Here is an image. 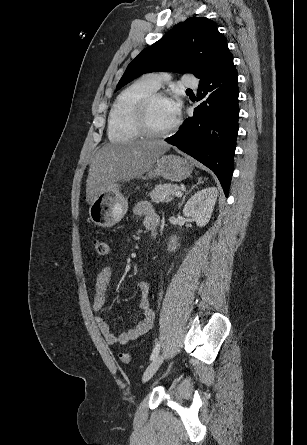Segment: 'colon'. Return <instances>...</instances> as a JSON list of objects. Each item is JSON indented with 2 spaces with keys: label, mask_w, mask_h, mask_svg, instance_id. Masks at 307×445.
I'll list each match as a JSON object with an SVG mask.
<instances>
[{
  "label": "colon",
  "mask_w": 307,
  "mask_h": 445,
  "mask_svg": "<svg viewBox=\"0 0 307 445\" xmlns=\"http://www.w3.org/2000/svg\"><path fill=\"white\" fill-rule=\"evenodd\" d=\"M93 245L95 247L96 252L98 253V255L100 256H107L110 252V246L106 241H103L101 239L98 238H94L93 239ZM120 360L125 363L128 364L131 361V355L127 352L121 353L120 354Z\"/></svg>",
  "instance_id": "5ec220e1"
}]
</instances>
